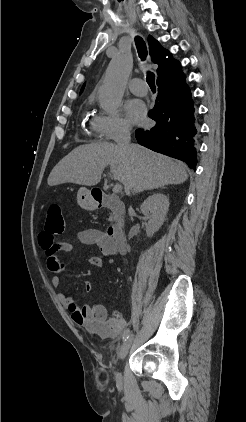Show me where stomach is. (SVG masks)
<instances>
[{"mask_svg":"<svg viewBox=\"0 0 246 422\" xmlns=\"http://www.w3.org/2000/svg\"><path fill=\"white\" fill-rule=\"evenodd\" d=\"M77 202L79 206L85 210H94L97 207L95 198L92 196L91 190L81 187L77 193Z\"/></svg>","mask_w":246,"mask_h":422,"instance_id":"0dacf381","label":"stomach"}]
</instances>
